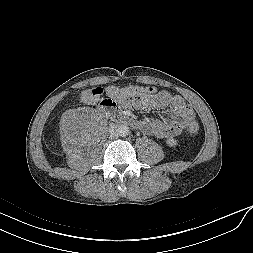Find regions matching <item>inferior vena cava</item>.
Instances as JSON below:
<instances>
[{
	"mask_svg": "<svg viewBox=\"0 0 253 253\" xmlns=\"http://www.w3.org/2000/svg\"><path fill=\"white\" fill-rule=\"evenodd\" d=\"M115 136H116V132L113 129H111L110 130V137L114 138Z\"/></svg>",
	"mask_w": 253,
	"mask_h": 253,
	"instance_id": "602c4592",
	"label": "inferior vena cava"
}]
</instances>
